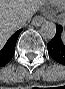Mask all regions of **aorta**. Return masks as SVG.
I'll list each match as a JSON object with an SVG mask.
<instances>
[{
  "instance_id": "762f6f07",
  "label": "aorta",
  "mask_w": 65,
  "mask_h": 89,
  "mask_svg": "<svg viewBox=\"0 0 65 89\" xmlns=\"http://www.w3.org/2000/svg\"><path fill=\"white\" fill-rule=\"evenodd\" d=\"M40 33L44 39L51 40L56 34V25L53 22L46 21L41 25Z\"/></svg>"
}]
</instances>
